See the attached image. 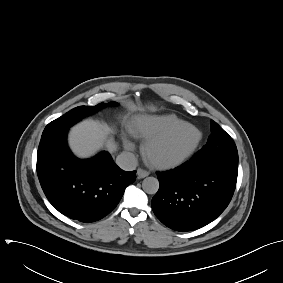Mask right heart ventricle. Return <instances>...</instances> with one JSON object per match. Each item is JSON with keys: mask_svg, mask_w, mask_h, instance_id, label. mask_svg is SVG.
Instances as JSON below:
<instances>
[{"mask_svg": "<svg viewBox=\"0 0 283 283\" xmlns=\"http://www.w3.org/2000/svg\"><path fill=\"white\" fill-rule=\"evenodd\" d=\"M182 122L184 121L172 114L145 116L137 119L130 126L129 132L135 138L149 140Z\"/></svg>", "mask_w": 283, "mask_h": 283, "instance_id": "obj_1", "label": "right heart ventricle"}]
</instances>
